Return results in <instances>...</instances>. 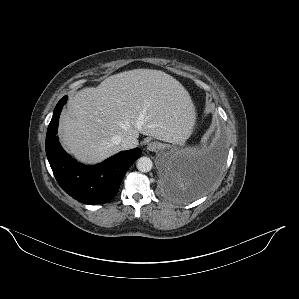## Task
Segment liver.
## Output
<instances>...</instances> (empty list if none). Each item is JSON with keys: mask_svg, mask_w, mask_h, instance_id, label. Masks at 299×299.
<instances>
[{"mask_svg": "<svg viewBox=\"0 0 299 299\" xmlns=\"http://www.w3.org/2000/svg\"><path fill=\"white\" fill-rule=\"evenodd\" d=\"M188 91L160 70L134 69L75 93L59 124L62 145L80 162L98 163L121 150L119 140L139 134L180 144L195 124Z\"/></svg>", "mask_w": 299, "mask_h": 299, "instance_id": "6515ba94", "label": "liver"}]
</instances>
